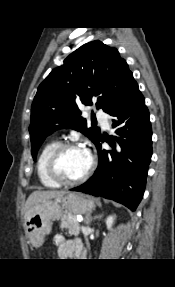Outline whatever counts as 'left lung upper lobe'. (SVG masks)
<instances>
[{
  "label": "left lung upper lobe",
  "instance_id": "1",
  "mask_svg": "<svg viewBox=\"0 0 175 287\" xmlns=\"http://www.w3.org/2000/svg\"><path fill=\"white\" fill-rule=\"evenodd\" d=\"M135 84L116 48L95 40L75 50L51 71L34 97L29 127L33 158L46 136L57 129L80 131L96 145L100 129L87 125L78 104L95 101L97 109L111 115L126 102Z\"/></svg>",
  "mask_w": 175,
  "mask_h": 287
}]
</instances>
